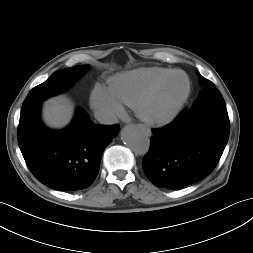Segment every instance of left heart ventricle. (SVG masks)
Segmentation results:
<instances>
[{
    "label": "left heart ventricle",
    "instance_id": "left-heart-ventricle-1",
    "mask_svg": "<svg viewBox=\"0 0 253 253\" xmlns=\"http://www.w3.org/2000/svg\"><path fill=\"white\" fill-rule=\"evenodd\" d=\"M186 90V80L182 75L172 78L155 96L150 110L156 115L167 113Z\"/></svg>",
    "mask_w": 253,
    "mask_h": 253
}]
</instances>
